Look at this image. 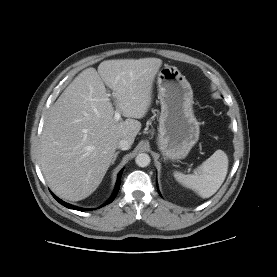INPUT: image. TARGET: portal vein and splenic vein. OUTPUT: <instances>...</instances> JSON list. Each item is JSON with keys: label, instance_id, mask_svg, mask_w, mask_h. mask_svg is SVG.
I'll return each mask as SVG.
<instances>
[{"label": "portal vein and splenic vein", "instance_id": "portal-vein-and-splenic-vein-1", "mask_svg": "<svg viewBox=\"0 0 277 277\" xmlns=\"http://www.w3.org/2000/svg\"><path fill=\"white\" fill-rule=\"evenodd\" d=\"M114 119L116 121H119L121 119V114L119 111H115V114H114Z\"/></svg>", "mask_w": 277, "mask_h": 277}]
</instances>
